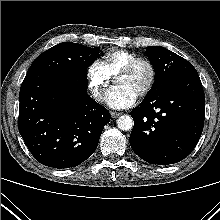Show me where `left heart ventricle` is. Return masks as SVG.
I'll list each match as a JSON object with an SVG mask.
<instances>
[{
  "mask_svg": "<svg viewBox=\"0 0 220 220\" xmlns=\"http://www.w3.org/2000/svg\"><path fill=\"white\" fill-rule=\"evenodd\" d=\"M149 79V69L145 64L138 65L135 70L127 74H119L116 79L118 85L130 87L137 95Z\"/></svg>",
  "mask_w": 220,
  "mask_h": 220,
  "instance_id": "obj_1",
  "label": "left heart ventricle"
}]
</instances>
